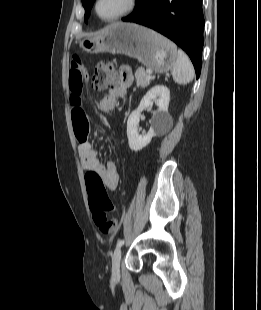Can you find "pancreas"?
<instances>
[{
	"mask_svg": "<svg viewBox=\"0 0 261 310\" xmlns=\"http://www.w3.org/2000/svg\"><path fill=\"white\" fill-rule=\"evenodd\" d=\"M135 78L137 87L144 88L150 84V79H147V72L142 67L135 72Z\"/></svg>",
	"mask_w": 261,
	"mask_h": 310,
	"instance_id": "cf45deb5",
	"label": "pancreas"
}]
</instances>
